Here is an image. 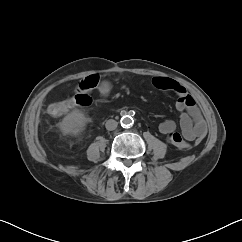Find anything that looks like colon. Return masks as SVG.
Segmentation results:
<instances>
[{"mask_svg": "<svg viewBox=\"0 0 242 242\" xmlns=\"http://www.w3.org/2000/svg\"><path fill=\"white\" fill-rule=\"evenodd\" d=\"M98 84V79L96 78H91L88 81L84 82L77 90V94L74 96L72 99H65L61 101H57L55 103H52L49 106V112L52 115H62L66 113L68 102L70 100L73 101V103L77 106H88L91 103V97H90V92L97 86ZM101 92L105 95L107 94L106 89H102Z\"/></svg>", "mask_w": 242, "mask_h": 242, "instance_id": "colon-1", "label": "colon"}]
</instances>
